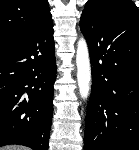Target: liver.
Returning a JSON list of instances; mask_svg holds the SVG:
<instances>
[{"label":"liver","mask_w":139,"mask_h":150,"mask_svg":"<svg viewBox=\"0 0 139 150\" xmlns=\"http://www.w3.org/2000/svg\"><path fill=\"white\" fill-rule=\"evenodd\" d=\"M1 150H25L23 147H3Z\"/></svg>","instance_id":"6515ba94"}]
</instances>
